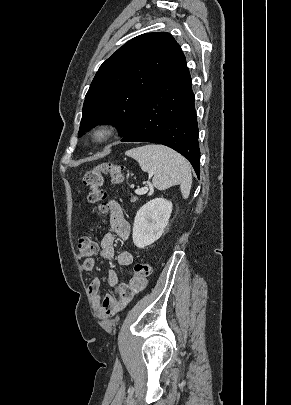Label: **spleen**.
Here are the masks:
<instances>
[{
  "label": "spleen",
  "mask_w": 291,
  "mask_h": 405,
  "mask_svg": "<svg viewBox=\"0 0 291 405\" xmlns=\"http://www.w3.org/2000/svg\"><path fill=\"white\" fill-rule=\"evenodd\" d=\"M137 160L141 169L153 173V185L165 190L180 185L182 197L187 199L192 185V174L189 162L174 150L162 145H145L126 152Z\"/></svg>",
  "instance_id": "3e777b00"
}]
</instances>
